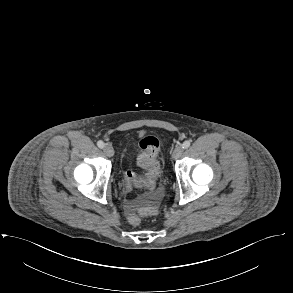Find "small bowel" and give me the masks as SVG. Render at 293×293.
<instances>
[{
    "mask_svg": "<svg viewBox=\"0 0 293 293\" xmlns=\"http://www.w3.org/2000/svg\"><path fill=\"white\" fill-rule=\"evenodd\" d=\"M141 185H145V184H143V183H141V182H137L136 184H134V185H132V186H130V185L127 184L126 188H127V190H130L133 186H141ZM145 186H146V185H145ZM135 208H136V203H135V201H133V200H131V199H126V201H125V210H126V213H127L128 215L134 213Z\"/></svg>",
    "mask_w": 293,
    "mask_h": 293,
    "instance_id": "1",
    "label": "small bowel"
}]
</instances>
